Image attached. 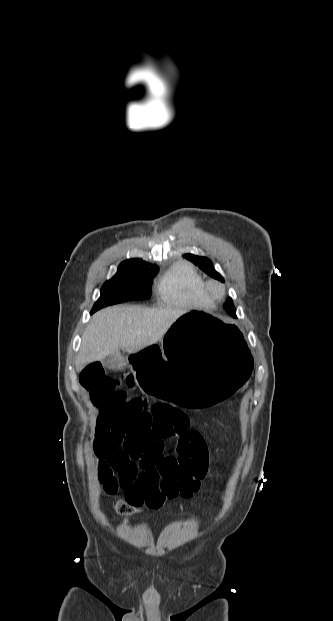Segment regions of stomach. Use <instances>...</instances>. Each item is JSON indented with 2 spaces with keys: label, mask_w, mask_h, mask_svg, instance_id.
<instances>
[{
  "label": "stomach",
  "mask_w": 333,
  "mask_h": 621,
  "mask_svg": "<svg viewBox=\"0 0 333 621\" xmlns=\"http://www.w3.org/2000/svg\"><path fill=\"white\" fill-rule=\"evenodd\" d=\"M128 357L143 393L169 398L179 413L216 412L245 389L254 370L251 343L237 323L199 310Z\"/></svg>",
  "instance_id": "0dacf381"
}]
</instances>
